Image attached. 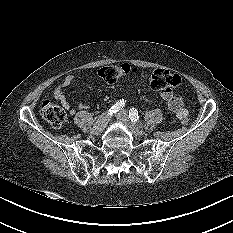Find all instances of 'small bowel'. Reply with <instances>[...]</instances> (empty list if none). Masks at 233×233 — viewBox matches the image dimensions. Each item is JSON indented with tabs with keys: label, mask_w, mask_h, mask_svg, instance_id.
Instances as JSON below:
<instances>
[{
	"label": "small bowel",
	"mask_w": 233,
	"mask_h": 233,
	"mask_svg": "<svg viewBox=\"0 0 233 233\" xmlns=\"http://www.w3.org/2000/svg\"><path fill=\"white\" fill-rule=\"evenodd\" d=\"M74 80V76L67 75L61 82V84L54 89L53 95L54 97L60 101L62 106L69 111L70 114L74 115L76 113V109L71 106L68 102L65 94L64 88L68 87ZM162 98L167 102L168 108L175 115L176 120L183 121L188 117V110L185 108L183 100L180 96L174 94L172 91H162ZM79 109H88L89 104L87 103H79Z\"/></svg>",
	"instance_id": "obj_1"
}]
</instances>
